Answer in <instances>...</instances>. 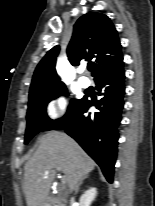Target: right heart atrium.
<instances>
[{"instance_id":"right-heart-atrium-1","label":"right heart atrium","mask_w":155,"mask_h":206,"mask_svg":"<svg viewBox=\"0 0 155 206\" xmlns=\"http://www.w3.org/2000/svg\"><path fill=\"white\" fill-rule=\"evenodd\" d=\"M66 111V99L62 96L51 101L47 106V115L51 119H56Z\"/></svg>"}]
</instances>
